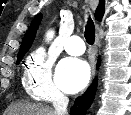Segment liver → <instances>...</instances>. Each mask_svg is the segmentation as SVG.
Returning <instances> with one entry per match:
<instances>
[{
  "label": "liver",
  "mask_w": 131,
  "mask_h": 115,
  "mask_svg": "<svg viewBox=\"0 0 131 115\" xmlns=\"http://www.w3.org/2000/svg\"><path fill=\"white\" fill-rule=\"evenodd\" d=\"M5 113V115H56L51 107L21 102L10 105Z\"/></svg>",
  "instance_id": "1"
}]
</instances>
